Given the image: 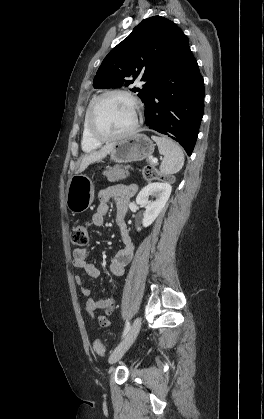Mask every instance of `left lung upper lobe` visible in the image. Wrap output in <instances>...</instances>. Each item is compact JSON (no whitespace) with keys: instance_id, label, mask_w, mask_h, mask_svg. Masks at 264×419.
<instances>
[{"instance_id":"obj_1","label":"left lung upper lobe","mask_w":264,"mask_h":419,"mask_svg":"<svg viewBox=\"0 0 264 419\" xmlns=\"http://www.w3.org/2000/svg\"><path fill=\"white\" fill-rule=\"evenodd\" d=\"M182 34L174 22L164 17L144 19L105 57L94 78V88L129 86L141 77L145 82L143 89L132 91H137L145 102L156 81L170 73L172 43Z\"/></svg>"}]
</instances>
